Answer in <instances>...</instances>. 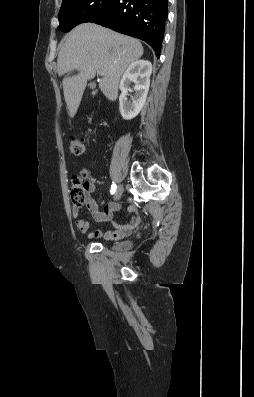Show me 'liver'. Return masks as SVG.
Instances as JSON below:
<instances>
[{
    "mask_svg": "<svg viewBox=\"0 0 254 397\" xmlns=\"http://www.w3.org/2000/svg\"><path fill=\"white\" fill-rule=\"evenodd\" d=\"M143 52L142 44L137 39L102 26L83 23L75 27L65 37L57 58L60 76L73 70L79 72L63 79L68 115L71 118L75 116L87 81L99 71H104L99 88L108 99L116 100L123 72L140 59Z\"/></svg>",
    "mask_w": 254,
    "mask_h": 397,
    "instance_id": "liver-1",
    "label": "liver"
}]
</instances>
